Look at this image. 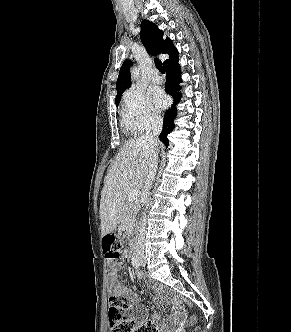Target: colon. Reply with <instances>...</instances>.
I'll return each instance as SVG.
<instances>
[{
	"instance_id": "1",
	"label": "colon",
	"mask_w": 291,
	"mask_h": 332,
	"mask_svg": "<svg viewBox=\"0 0 291 332\" xmlns=\"http://www.w3.org/2000/svg\"><path fill=\"white\" fill-rule=\"evenodd\" d=\"M103 249L106 258H119L123 249V240L119 235L106 234L103 237ZM128 299L123 295L122 288L117 287V292L109 299L108 320L110 332H158L156 324L147 321L143 324L136 325L125 318L128 308Z\"/></svg>"
}]
</instances>
